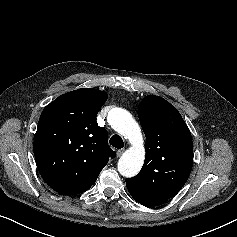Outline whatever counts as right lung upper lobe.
<instances>
[{"label":"right lung upper lobe","instance_id":"cb5924a9","mask_svg":"<svg viewBox=\"0 0 237 237\" xmlns=\"http://www.w3.org/2000/svg\"><path fill=\"white\" fill-rule=\"evenodd\" d=\"M107 100L103 91L82 88L47 105L34 138V156L44 181L56 192L76 195L91 188L109 158L108 133L96 116Z\"/></svg>","mask_w":237,"mask_h":237}]
</instances>
